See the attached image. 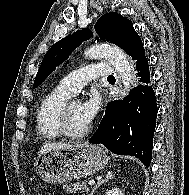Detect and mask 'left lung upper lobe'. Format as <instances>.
<instances>
[{
    "instance_id": "1",
    "label": "left lung upper lobe",
    "mask_w": 189,
    "mask_h": 195,
    "mask_svg": "<svg viewBox=\"0 0 189 195\" xmlns=\"http://www.w3.org/2000/svg\"><path fill=\"white\" fill-rule=\"evenodd\" d=\"M95 30L101 40L121 47L132 60L137 62L145 57L142 41L126 17L115 12L106 13L95 24ZM92 35L91 30L86 28L55 43L44 56L33 87H38L56 66L63 63L76 47Z\"/></svg>"
}]
</instances>
